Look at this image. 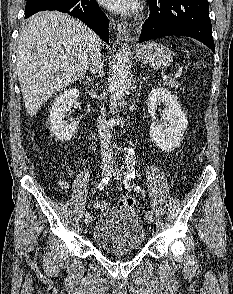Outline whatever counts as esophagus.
Here are the masks:
<instances>
[{
  "mask_svg": "<svg viewBox=\"0 0 233 294\" xmlns=\"http://www.w3.org/2000/svg\"><path fill=\"white\" fill-rule=\"evenodd\" d=\"M116 27V37L120 41H129L130 33L129 29L125 25V23H116L114 24Z\"/></svg>",
  "mask_w": 233,
  "mask_h": 294,
  "instance_id": "obj_1",
  "label": "esophagus"
}]
</instances>
